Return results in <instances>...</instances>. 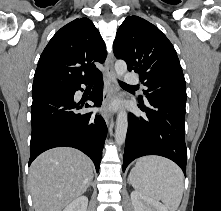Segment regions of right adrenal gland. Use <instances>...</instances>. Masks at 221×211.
<instances>
[{"mask_svg":"<svg viewBox=\"0 0 221 211\" xmlns=\"http://www.w3.org/2000/svg\"><path fill=\"white\" fill-rule=\"evenodd\" d=\"M90 185H92V180H91V182H90Z\"/></svg>","mask_w":221,"mask_h":211,"instance_id":"right-adrenal-gland-1","label":"right adrenal gland"}]
</instances>
